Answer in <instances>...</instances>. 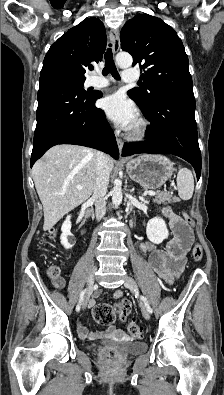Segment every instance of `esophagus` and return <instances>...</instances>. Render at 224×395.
Wrapping results in <instances>:
<instances>
[{
  "mask_svg": "<svg viewBox=\"0 0 224 395\" xmlns=\"http://www.w3.org/2000/svg\"><path fill=\"white\" fill-rule=\"evenodd\" d=\"M109 38H110V42L112 44V51H113V53H117L119 48H120L119 30L118 29L111 30L110 34H109ZM116 142H117L119 151L121 153L122 150H123V141L121 140V138L116 136Z\"/></svg>",
  "mask_w": 224,
  "mask_h": 395,
  "instance_id": "obj_1",
  "label": "esophagus"
}]
</instances>
